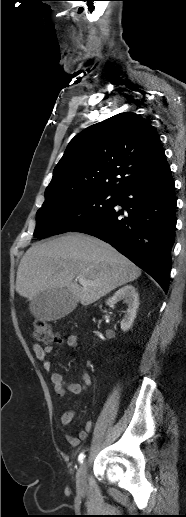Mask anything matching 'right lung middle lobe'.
<instances>
[{
  "label": "right lung middle lobe",
  "mask_w": 186,
  "mask_h": 517,
  "mask_svg": "<svg viewBox=\"0 0 186 517\" xmlns=\"http://www.w3.org/2000/svg\"><path fill=\"white\" fill-rule=\"evenodd\" d=\"M118 195L105 192H79L45 201L36 213L34 236H49L75 228L109 211Z\"/></svg>",
  "instance_id": "obj_1"
}]
</instances>
